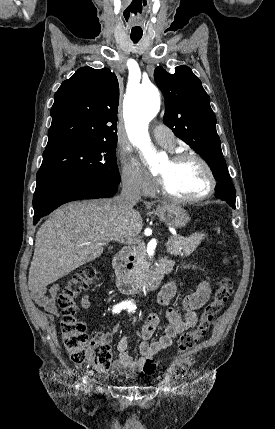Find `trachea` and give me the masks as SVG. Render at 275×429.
<instances>
[{
    "label": "trachea",
    "instance_id": "trachea-1",
    "mask_svg": "<svg viewBox=\"0 0 275 429\" xmlns=\"http://www.w3.org/2000/svg\"><path fill=\"white\" fill-rule=\"evenodd\" d=\"M131 39L134 43H137L141 38L140 37H132Z\"/></svg>",
    "mask_w": 275,
    "mask_h": 429
}]
</instances>
